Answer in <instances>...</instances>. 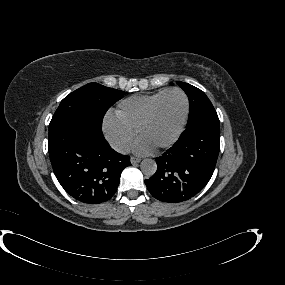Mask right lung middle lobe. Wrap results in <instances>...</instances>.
I'll list each match as a JSON object with an SVG mask.
<instances>
[{"label": "right lung middle lobe", "mask_w": 285, "mask_h": 285, "mask_svg": "<svg viewBox=\"0 0 285 285\" xmlns=\"http://www.w3.org/2000/svg\"><path fill=\"white\" fill-rule=\"evenodd\" d=\"M125 92L89 83L66 96L60 103L49 124V134L58 127L73 121H82L101 128L106 111Z\"/></svg>", "instance_id": "1"}]
</instances>
